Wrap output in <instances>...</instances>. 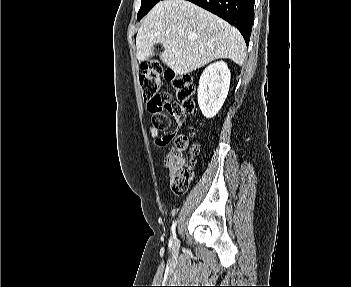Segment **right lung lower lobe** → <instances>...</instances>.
Masks as SVG:
<instances>
[{
  "label": "right lung lower lobe",
  "instance_id": "right-lung-lower-lobe-1",
  "mask_svg": "<svg viewBox=\"0 0 351 287\" xmlns=\"http://www.w3.org/2000/svg\"><path fill=\"white\" fill-rule=\"evenodd\" d=\"M234 25L249 44L255 0H188Z\"/></svg>",
  "mask_w": 351,
  "mask_h": 287
}]
</instances>
